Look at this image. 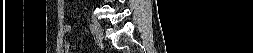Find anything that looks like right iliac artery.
I'll list each match as a JSON object with an SVG mask.
<instances>
[{
  "label": "right iliac artery",
  "instance_id": "right-iliac-artery-1",
  "mask_svg": "<svg viewBox=\"0 0 253 53\" xmlns=\"http://www.w3.org/2000/svg\"><path fill=\"white\" fill-rule=\"evenodd\" d=\"M90 31L92 35H95L94 26L92 24H90Z\"/></svg>",
  "mask_w": 253,
  "mask_h": 53
}]
</instances>
